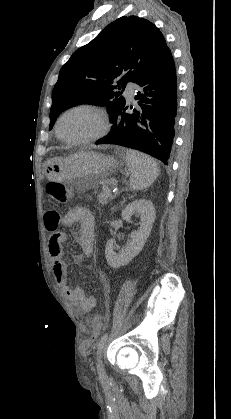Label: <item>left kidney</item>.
I'll use <instances>...</instances> for the list:
<instances>
[{
	"mask_svg": "<svg viewBox=\"0 0 231 419\" xmlns=\"http://www.w3.org/2000/svg\"><path fill=\"white\" fill-rule=\"evenodd\" d=\"M140 217V227L136 232L131 233V240L122 247L119 253L114 251L115 240H108L105 248V255L108 264L112 268H119L129 263L142 250L148 239L155 220V209L149 200L140 199L128 204L122 211V218L129 221L132 216Z\"/></svg>",
	"mask_w": 231,
	"mask_h": 419,
	"instance_id": "5707ae66",
	"label": "left kidney"
}]
</instances>
